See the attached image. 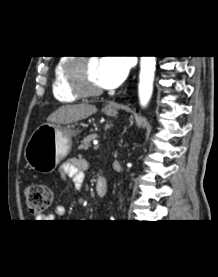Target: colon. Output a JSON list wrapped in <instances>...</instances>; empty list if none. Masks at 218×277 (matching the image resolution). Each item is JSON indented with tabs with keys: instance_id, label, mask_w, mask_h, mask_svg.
<instances>
[{
	"instance_id": "1",
	"label": "colon",
	"mask_w": 218,
	"mask_h": 277,
	"mask_svg": "<svg viewBox=\"0 0 218 277\" xmlns=\"http://www.w3.org/2000/svg\"><path fill=\"white\" fill-rule=\"evenodd\" d=\"M25 194L27 207L34 214L44 213L52 203V190L43 183L30 184Z\"/></svg>"
}]
</instances>
